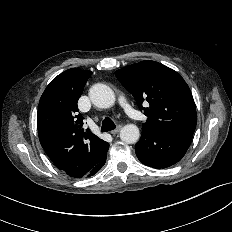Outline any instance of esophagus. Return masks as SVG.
<instances>
[{"instance_id":"obj_1","label":"esophagus","mask_w":232,"mask_h":232,"mask_svg":"<svg viewBox=\"0 0 232 232\" xmlns=\"http://www.w3.org/2000/svg\"><path fill=\"white\" fill-rule=\"evenodd\" d=\"M121 128H122V126L119 125L114 130H112L110 133L113 134V135H115V134L119 133V131L121 130Z\"/></svg>"}]
</instances>
